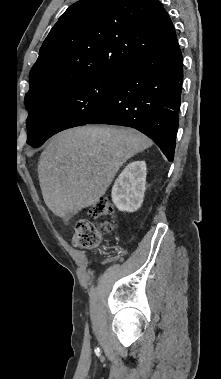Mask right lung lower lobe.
Instances as JSON below:
<instances>
[{"instance_id": "obj_1", "label": "right lung lower lobe", "mask_w": 221, "mask_h": 379, "mask_svg": "<svg viewBox=\"0 0 221 379\" xmlns=\"http://www.w3.org/2000/svg\"><path fill=\"white\" fill-rule=\"evenodd\" d=\"M182 82L183 58L176 38L119 69L112 99L87 124L135 128L173 161Z\"/></svg>"}]
</instances>
